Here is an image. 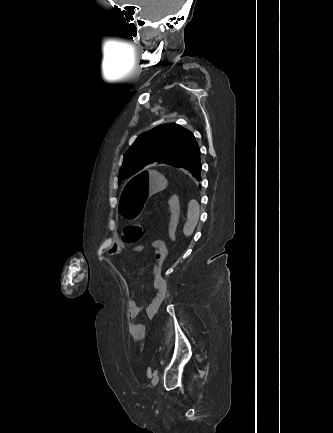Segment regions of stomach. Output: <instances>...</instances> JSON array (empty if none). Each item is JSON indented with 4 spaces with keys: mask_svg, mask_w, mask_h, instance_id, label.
<instances>
[{
    "mask_svg": "<svg viewBox=\"0 0 333 433\" xmlns=\"http://www.w3.org/2000/svg\"><path fill=\"white\" fill-rule=\"evenodd\" d=\"M166 184L161 169H148L129 179L122 189L118 212L125 219H136L146 200L163 190Z\"/></svg>",
    "mask_w": 333,
    "mask_h": 433,
    "instance_id": "stomach-1",
    "label": "stomach"
}]
</instances>
